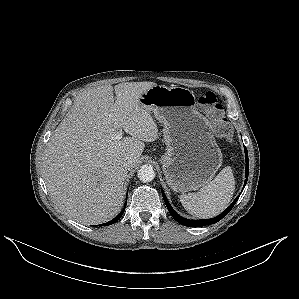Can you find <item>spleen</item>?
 Here are the masks:
<instances>
[{
	"label": "spleen",
	"instance_id": "obj_1",
	"mask_svg": "<svg viewBox=\"0 0 299 299\" xmlns=\"http://www.w3.org/2000/svg\"><path fill=\"white\" fill-rule=\"evenodd\" d=\"M235 190L232 168L227 166L197 193H183L180 202L191 215L208 219L217 216L229 205Z\"/></svg>",
	"mask_w": 299,
	"mask_h": 299
}]
</instances>
